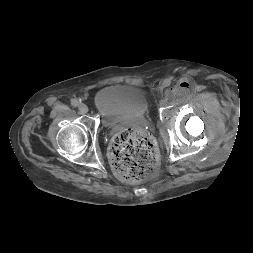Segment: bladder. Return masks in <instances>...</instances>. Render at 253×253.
I'll use <instances>...</instances> for the list:
<instances>
[{
  "label": "bladder",
  "instance_id": "obj_1",
  "mask_svg": "<svg viewBox=\"0 0 253 253\" xmlns=\"http://www.w3.org/2000/svg\"><path fill=\"white\" fill-rule=\"evenodd\" d=\"M93 105L102 118L110 121L142 117L150 108L144 90L125 83L101 88L93 97Z\"/></svg>",
  "mask_w": 253,
  "mask_h": 253
}]
</instances>
